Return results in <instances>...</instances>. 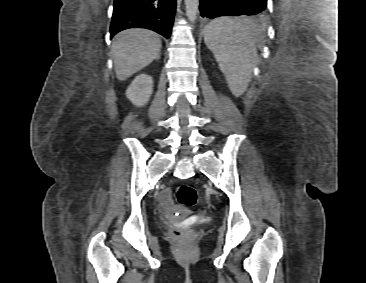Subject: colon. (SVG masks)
<instances>
[{"label": "colon", "mask_w": 366, "mask_h": 283, "mask_svg": "<svg viewBox=\"0 0 366 283\" xmlns=\"http://www.w3.org/2000/svg\"><path fill=\"white\" fill-rule=\"evenodd\" d=\"M175 196L178 203L183 206L190 207L195 205L197 202L196 190L192 186L185 183L177 185L175 189ZM174 235L178 237L180 241H183L185 237L184 233L181 231H174Z\"/></svg>", "instance_id": "obj_1"}]
</instances>
